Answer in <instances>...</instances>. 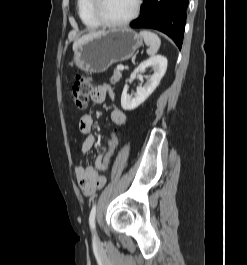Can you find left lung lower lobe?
I'll list each match as a JSON object with an SVG mask.
<instances>
[{
    "instance_id": "obj_1",
    "label": "left lung lower lobe",
    "mask_w": 247,
    "mask_h": 265,
    "mask_svg": "<svg viewBox=\"0 0 247 265\" xmlns=\"http://www.w3.org/2000/svg\"><path fill=\"white\" fill-rule=\"evenodd\" d=\"M189 0H144L141 15L130 26L157 29L181 49Z\"/></svg>"
}]
</instances>
